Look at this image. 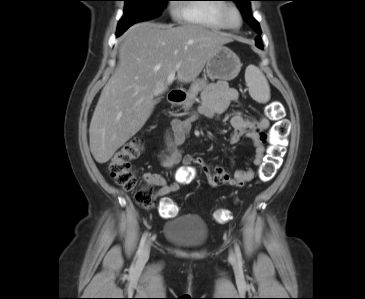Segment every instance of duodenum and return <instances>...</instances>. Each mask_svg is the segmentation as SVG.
<instances>
[{
    "instance_id": "410a0bca",
    "label": "duodenum",
    "mask_w": 365,
    "mask_h": 299,
    "mask_svg": "<svg viewBox=\"0 0 365 299\" xmlns=\"http://www.w3.org/2000/svg\"><path fill=\"white\" fill-rule=\"evenodd\" d=\"M187 93L183 89L171 90L168 94V100L171 104L180 105L186 99Z\"/></svg>"
}]
</instances>
